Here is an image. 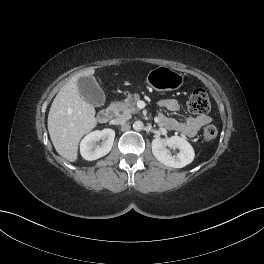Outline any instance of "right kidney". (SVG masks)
<instances>
[{"label": "right kidney", "mask_w": 264, "mask_h": 264, "mask_svg": "<svg viewBox=\"0 0 264 264\" xmlns=\"http://www.w3.org/2000/svg\"><path fill=\"white\" fill-rule=\"evenodd\" d=\"M115 131L109 128L87 134L80 143L81 156L88 161L97 160L107 155L113 146ZM103 140L100 145L96 142Z\"/></svg>", "instance_id": "1"}]
</instances>
